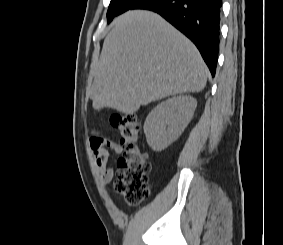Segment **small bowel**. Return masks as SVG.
I'll list each match as a JSON object with an SVG mask.
<instances>
[{"label": "small bowel", "instance_id": "small-bowel-1", "mask_svg": "<svg viewBox=\"0 0 283 245\" xmlns=\"http://www.w3.org/2000/svg\"><path fill=\"white\" fill-rule=\"evenodd\" d=\"M90 147L103 182L109 183L114 176V170L108 166L109 154L110 151L119 154L122 151L121 145L114 140L95 134L90 138Z\"/></svg>", "mask_w": 283, "mask_h": 245}]
</instances>
